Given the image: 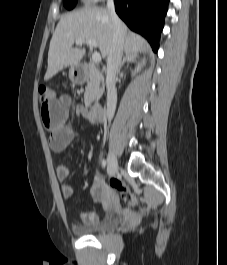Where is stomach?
Listing matches in <instances>:
<instances>
[{
	"mask_svg": "<svg viewBox=\"0 0 227 265\" xmlns=\"http://www.w3.org/2000/svg\"><path fill=\"white\" fill-rule=\"evenodd\" d=\"M69 79L73 83H81L84 79L82 70L79 66H72L69 70Z\"/></svg>",
	"mask_w": 227,
	"mask_h": 265,
	"instance_id": "1",
	"label": "stomach"
}]
</instances>
